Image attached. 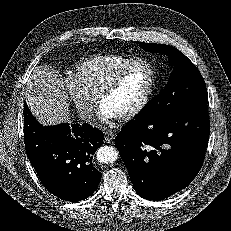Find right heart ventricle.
<instances>
[{
	"mask_svg": "<svg viewBox=\"0 0 231 231\" xmlns=\"http://www.w3.org/2000/svg\"><path fill=\"white\" fill-rule=\"evenodd\" d=\"M135 59L125 54L94 55L80 61L73 75L81 87L95 97L106 81Z\"/></svg>",
	"mask_w": 231,
	"mask_h": 231,
	"instance_id": "1",
	"label": "right heart ventricle"
}]
</instances>
